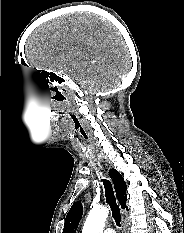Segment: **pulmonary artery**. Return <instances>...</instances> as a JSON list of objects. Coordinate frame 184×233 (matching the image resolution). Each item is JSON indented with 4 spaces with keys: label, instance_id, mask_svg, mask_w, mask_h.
I'll use <instances>...</instances> for the list:
<instances>
[{
    "label": "pulmonary artery",
    "instance_id": "1",
    "mask_svg": "<svg viewBox=\"0 0 184 233\" xmlns=\"http://www.w3.org/2000/svg\"><path fill=\"white\" fill-rule=\"evenodd\" d=\"M104 233H115V230L113 228H106Z\"/></svg>",
    "mask_w": 184,
    "mask_h": 233
}]
</instances>
